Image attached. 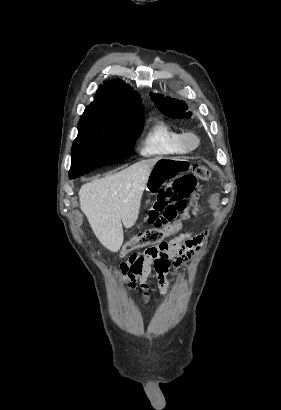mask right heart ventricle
<instances>
[{
	"label": "right heart ventricle",
	"mask_w": 281,
	"mask_h": 410,
	"mask_svg": "<svg viewBox=\"0 0 281 410\" xmlns=\"http://www.w3.org/2000/svg\"><path fill=\"white\" fill-rule=\"evenodd\" d=\"M183 133L163 120H156L147 129L141 142L140 152L144 156L186 154L188 151L183 145Z\"/></svg>",
	"instance_id": "e07e8e85"
}]
</instances>
